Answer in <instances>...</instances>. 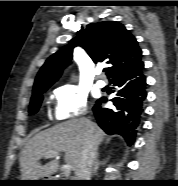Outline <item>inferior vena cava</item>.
<instances>
[{"instance_id": "inferior-vena-cava-1", "label": "inferior vena cava", "mask_w": 178, "mask_h": 186, "mask_svg": "<svg viewBox=\"0 0 178 186\" xmlns=\"http://www.w3.org/2000/svg\"><path fill=\"white\" fill-rule=\"evenodd\" d=\"M85 143L81 160L75 170V180H90L97 155V144L92 133V123L85 120Z\"/></svg>"}]
</instances>
